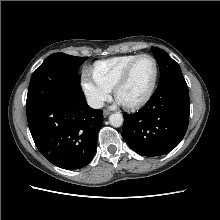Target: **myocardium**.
Segmentation results:
<instances>
[{"instance_id":"f54148a6","label":"myocardium","mask_w":220,"mask_h":220,"mask_svg":"<svg viewBox=\"0 0 220 220\" xmlns=\"http://www.w3.org/2000/svg\"><path fill=\"white\" fill-rule=\"evenodd\" d=\"M148 57L150 58L155 65V75H154V79L152 82V85L149 89V91L147 92V94L140 100L136 101V102H132V103H124L121 102L118 99V92L119 90L127 83V81L129 80L131 73L134 69V67L136 66V64L142 59ZM158 79H159V64L156 60V58L150 54H141L139 56H137L126 68V70L124 71V73L121 75V77L118 79V81L115 83L114 87H113V93L114 96L117 100H119L125 107L130 108V109H137L140 108L142 106H144L146 103L149 102V100L152 98L156 87H157V83H158Z\"/></svg>"}]
</instances>
